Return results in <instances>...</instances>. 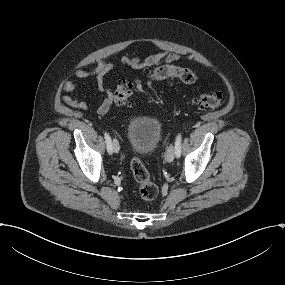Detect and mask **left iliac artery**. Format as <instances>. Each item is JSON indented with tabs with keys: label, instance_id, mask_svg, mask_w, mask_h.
<instances>
[{
	"label": "left iliac artery",
	"instance_id": "44dca946",
	"mask_svg": "<svg viewBox=\"0 0 285 285\" xmlns=\"http://www.w3.org/2000/svg\"><path fill=\"white\" fill-rule=\"evenodd\" d=\"M181 139H182L181 134H178L175 141V153L177 157H180L181 155Z\"/></svg>",
	"mask_w": 285,
	"mask_h": 285
}]
</instances>
